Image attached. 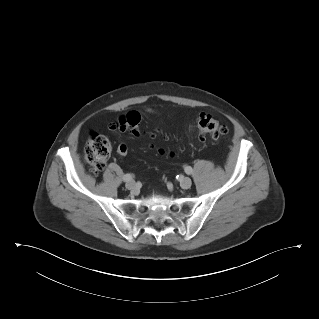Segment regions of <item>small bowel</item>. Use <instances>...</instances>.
<instances>
[{"label": "small bowel", "instance_id": "obj_1", "mask_svg": "<svg viewBox=\"0 0 319 319\" xmlns=\"http://www.w3.org/2000/svg\"><path fill=\"white\" fill-rule=\"evenodd\" d=\"M147 113H148V114H153V113H154V110L148 109V110H147ZM117 151H118V153H119L120 155H122V156L126 155V153H127V151H126L125 153H121V152L119 151V146H118Z\"/></svg>", "mask_w": 319, "mask_h": 319}]
</instances>
